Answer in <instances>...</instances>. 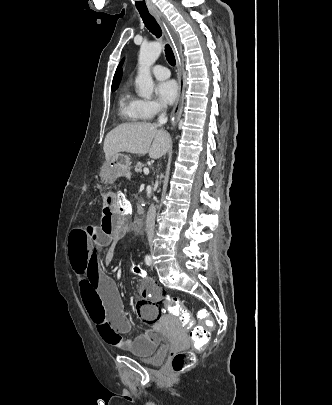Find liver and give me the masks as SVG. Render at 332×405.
Segmentation results:
<instances>
[{"label": "liver", "instance_id": "obj_1", "mask_svg": "<svg viewBox=\"0 0 332 405\" xmlns=\"http://www.w3.org/2000/svg\"><path fill=\"white\" fill-rule=\"evenodd\" d=\"M170 147L171 137L166 130L154 123L134 122L111 130L104 140L103 150L107 161L119 152L148 154L152 159H159Z\"/></svg>", "mask_w": 332, "mask_h": 405}]
</instances>
